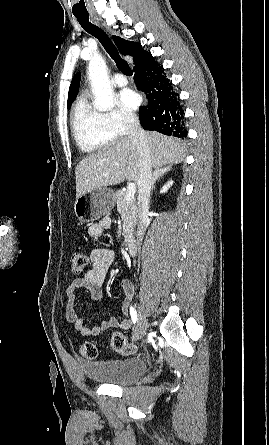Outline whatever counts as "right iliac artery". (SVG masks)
Returning a JSON list of instances; mask_svg holds the SVG:
<instances>
[{
  "label": "right iliac artery",
  "instance_id": "obj_1",
  "mask_svg": "<svg viewBox=\"0 0 269 445\" xmlns=\"http://www.w3.org/2000/svg\"><path fill=\"white\" fill-rule=\"evenodd\" d=\"M130 315L133 323L135 324L137 322V312L132 306L130 307Z\"/></svg>",
  "mask_w": 269,
  "mask_h": 445
}]
</instances>
